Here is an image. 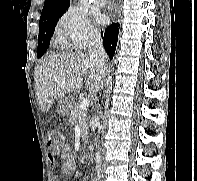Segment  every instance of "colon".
Wrapping results in <instances>:
<instances>
[{"label":"colon","instance_id":"5ec220e1","mask_svg":"<svg viewBox=\"0 0 197 181\" xmlns=\"http://www.w3.org/2000/svg\"><path fill=\"white\" fill-rule=\"evenodd\" d=\"M47 142L51 151H59L62 146V138L58 135L56 129L49 128L47 131Z\"/></svg>","mask_w":197,"mask_h":181}]
</instances>
